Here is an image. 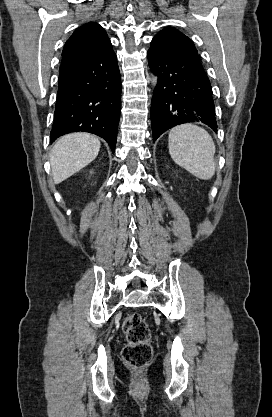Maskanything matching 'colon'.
<instances>
[{
	"instance_id": "obj_1",
	"label": "colon",
	"mask_w": 272,
	"mask_h": 417,
	"mask_svg": "<svg viewBox=\"0 0 272 417\" xmlns=\"http://www.w3.org/2000/svg\"><path fill=\"white\" fill-rule=\"evenodd\" d=\"M127 342L122 355L125 363L134 370H141L152 358L150 332L143 316L133 313L122 325Z\"/></svg>"
}]
</instances>
